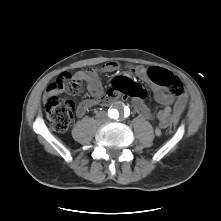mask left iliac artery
Wrapping results in <instances>:
<instances>
[{"mask_svg": "<svg viewBox=\"0 0 221 221\" xmlns=\"http://www.w3.org/2000/svg\"><path fill=\"white\" fill-rule=\"evenodd\" d=\"M124 112H125V116L129 115V109H124Z\"/></svg>", "mask_w": 221, "mask_h": 221, "instance_id": "left-iliac-artery-1", "label": "left iliac artery"}]
</instances>
